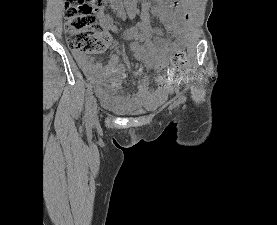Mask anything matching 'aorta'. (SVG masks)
Listing matches in <instances>:
<instances>
[{
	"label": "aorta",
	"mask_w": 277,
	"mask_h": 225,
	"mask_svg": "<svg viewBox=\"0 0 277 225\" xmlns=\"http://www.w3.org/2000/svg\"><path fill=\"white\" fill-rule=\"evenodd\" d=\"M124 5L129 18L133 19L137 13V0H124Z\"/></svg>",
	"instance_id": "obj_1"
}]
</instances>
